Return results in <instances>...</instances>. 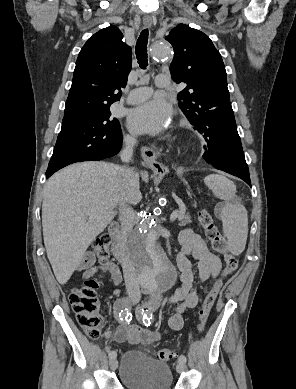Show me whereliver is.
Listing matches in <instances>:
<instances>
[{"mask_svg": "<svg viewBox=\"0 0 296 389\" xmlns=\"http://www.w3.org/2000/svg\"><path fill=\"white\" fill-rule=\"evenodd\" d=\"M119 166L82 162L55 173L46 182L42 227L47 257L57 281L66 284L95 238L123 203L141 200L139 175L124 185Z\"/></svg>", "mask_w": 296, "mask_h": 389, "instance_id": "1", "label": "liver"}]
</instances>
